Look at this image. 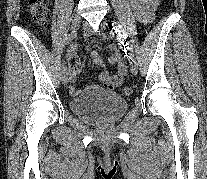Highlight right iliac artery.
I'll list each match as a JSON object with an SVG mask.
<instances>
[{
  "label": "right iliac artery",
  "mask_w": 207,
  "mask_h": 179,
  "mask_svg": "<svg viewBox=\"0 0 207 179\" xmlns=\"http://www.w3.org/2000/svg\"><path fill=\"white\" fill-rule=\"evenodd\" d=\"M75 37H76V34L71 33L69 37L67 38L66 44H69ZM66 70H67L66 66L63 65L62 72H65Z\"/></svg>",
  "instance_id": "right-iliac-artery-1"
}]
</instances>
